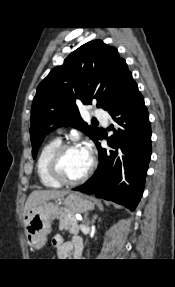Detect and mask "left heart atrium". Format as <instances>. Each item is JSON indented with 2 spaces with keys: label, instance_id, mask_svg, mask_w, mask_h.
<instances>
[{
  "label": "left heart atrium",
  "instance_id": "left-heart-atrium-1",
  "mask_svg": "<svg viewBox=\"0 0 175 287\" xmlns=\"http://www.w3.org/2000/svg\"><path fill=\"white\" fill-rule=\"evenodd\" d=\"M85 154L91 159L92 158V150L89 144H86L84 147L81 148Z\"/></svg>",
  "mask_w": 175,
  "mask_h": 287
}]
</instances>
